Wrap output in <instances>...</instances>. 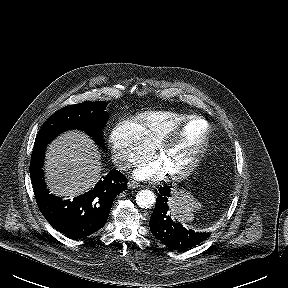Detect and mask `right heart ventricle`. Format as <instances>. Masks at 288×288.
Wrapping results in <instances>:
<instances>
[{
  "label": "right heart ventricle",
  "mask_w": 288,
  "mask_h": 288,
  "mask_svg": "<svg viewBox=\"0 0 288 288\" xmlns=\"http://www.w3.org/2000/svg\"><path fill=\"white\" fill-rule=\"evenodd\" d=\"M188 116L175 111H149L139 115L137 120L146 140L155 148L166 132Z\"/></svg>",
  "instance_id": "obj_1"
}]
</instances>
